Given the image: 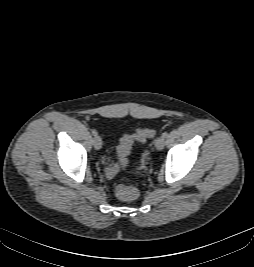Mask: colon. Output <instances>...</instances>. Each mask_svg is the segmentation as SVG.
Segmentation results:
<instances>
[{
    "label": "colon",
    "mask_w": 254,
    "mask_h": 267,
    "mask_svg": "<svg viewBox=\"0 0 254 267\" xmlns=\"http://www.w3.org/2000/svg\"><path fill=\"white\" fill-rule=\"evenodd\" d=\"M154 135L155 131L152 129H139L133 134H128L122 137L118 146V156L122 165L127 164L128 156L134 143L144 142ZM115 193L119 199L124 201H133L139 196V191L136 187L125 184H118L115 188Z\"/></svg>",
    "instance_id": "5ec220e1"
}]
</instances>
